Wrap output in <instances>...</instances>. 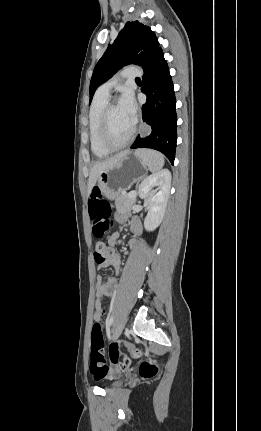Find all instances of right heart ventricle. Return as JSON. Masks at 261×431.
<instances>
[{"instance_id": "obj_1", "label": "right heart ventricle", "mask_w": 261, "mask_h": 431, "mask_svg": "<svg viewBox=\"0 0 261 431\" xmlns=\"http://www.w3.org/2000/svg\"><path fill=\"white\" fill-rule=\"evenodd\" d=\"M109 96L96 93L89 111V141L90 148L94 156L104 158L111 151L106 149L100 141V118L104 107L108 103Z\"/></svg>"}]
</instances>
